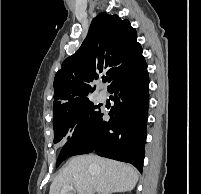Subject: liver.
I'll return each mask as SVG.
<instances>
[{
  "mask_svg": "<svg viewBox=\"0 0 201 194\" xmlns=\"http://www.w3.org/2000/svg\"><path fill=\"white\" fill-rule=\"evenodd\" d=\"M138 177V171L129 164L93 154L76 156L55 177L49 194H61L64 186L74 187L78 194H88L91 188L98 194L126 192L135 187Z\"/></svg>",
  "mask_w": 201,
  "mask_h": 194,
  "instance_id": "1",
  "label": "liver"
}]
</instances>
